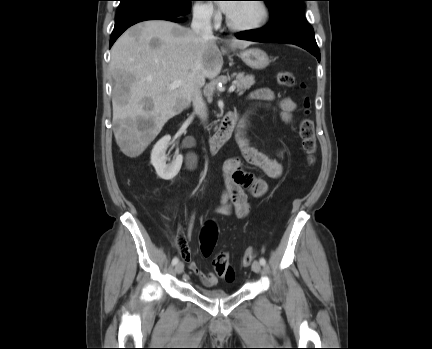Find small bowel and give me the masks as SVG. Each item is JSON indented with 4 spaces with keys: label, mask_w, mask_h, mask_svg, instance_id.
<instances>
[{
    "label": "small bowel",
    "mask_w": 432,
    "mask_h": 349,
    "mask_svg": "<svg viewBox=\"0 0 432 349\" xmlns=\"http://www.w3.org/2000/svg\"><path fill=\"white\" fill-rule=\"evenodd\" d=\"M251 99L270 103L276 100L275 94L269 88H260L253 91ZM282 119L290 122L292 112L296 108L295 102L290 98H283L277 102ZM236 141L242 151V157L227 159L223 164V175L225 189L220 199L218 212L223 215L234 214L236 217L245 218L250 210L248 195L255 198L263 197L268 191V183L248 172L244 168L247 163L266 174L270 178H279L283 174V165L276 159L269 157L254 147L245 132V124L242 123L236 134ZM280 155L283 152H279ZM197 163L196 156L191 153L186 159L189 169H194ZM180 254L183 259L189 262V268L199 277L205 287L217 284L218 279L212 272H203L195 261L191 260V252L186 247L185 241L179 239Z\"/></svg>",
    "instance_id": "1"
}]
</instances>
